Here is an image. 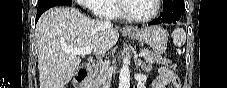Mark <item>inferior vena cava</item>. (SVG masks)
<instances>
[{"label": "inferior vena cava", "instance_id": "obj_1", "mask_svg": "<svg viewBox=\"0 0 227 88\" xmlns=\"http://www.w3.org/2000/svg\"><path fill=\"white\" fill-rule=\"evenodd\" d=\"M102 26L103 27H109V26H111V22L110 21H103ZM102 83H103V88H109L108 75L107 74H106L105 78L102 80Z\"/></svg>", "mask_w": 227, "mask_h": 88}]
</instances>
